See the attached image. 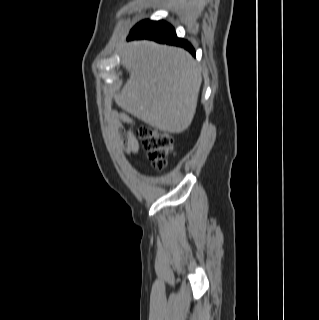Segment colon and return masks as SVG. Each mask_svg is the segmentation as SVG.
I'll return each instance as SVG.
<instances>
[{
    "instance_id": "obj_1",
    "label": "colon",
    "mask_w": 319,
    "mask_h": 320,
    "mask_svg": "<svg viewBox=\"0 0 319 320\" xmlns=\"http://www.w3.org/2000/svg\"><path fill=\"white\" fill-rule=\"evenodd\" d=\"M137 135L154 166L160 171L163 170L173 149V137L149 126H141Z\"/></svg>"
}]
</instances>
